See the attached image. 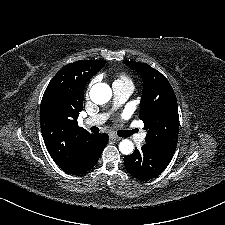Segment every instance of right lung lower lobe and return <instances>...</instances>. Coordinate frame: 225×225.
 <instances>
[{
    "label": "right lung lower lobe",
    "mask_w": 225,
    "mask_h": 225,
    "mask_svg": "<svg viewBox=\"0 0 225 225\" xmlns=\"http://www.w3.org/2000/svg\"><path fill=\"white\" fill-rule=\"evenodd\" d=\"M107 134H94L83 148L80 167L70 174L79 175L90 170L98 161L103 148L108 143Z\"/></svg>",
    "instance_id": "right-lung-lower-lobe-1"
}]
</instances>
